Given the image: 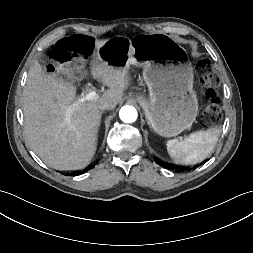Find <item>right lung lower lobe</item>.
<instances>
[{
    "label": "right lung lower lobe",
    "instance_id": "1",
    "mask_svg": "<svg viewBox=\"0 0 253 253\" xmlns=\"http://www.w3.org/2000/svg\"><path fill=\"white\" fill-rule=\"evenodd\" d=\"M79 174H82V172H81V173H79ZM73 175L75 176V175H77V174H73Z\"/></svg>",
    "mask_w": 253,
    "mask_h": 253
}]
</instances>
